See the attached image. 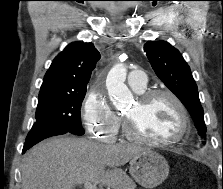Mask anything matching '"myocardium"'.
Here are the masks:
<instances>
[{"mask_svg": "<svg viewBox=\"0 0 223 189\" xmlns=\"http://www.w3.org/2000/svg\"><path fill=\"white\" fill-rule=\"evenodd\" d=\"M161 96L170 98L180 113L181 126L178 134L173 138H166V139H154L146 137L138 133L134 126L133 120L130 117L125 116L124 117L125 133L127 137L130 138L132 141L155 146H169L180 142L188 134L190 129L189 112L183 101L174 92L166 89H153L141 93L138 96L137 101L140 105H145L146 103Z\"/></svg>", "mask_w": 223, "mask_h": 189, "instance_id": "1", "label": "myocardium"}]
</instances>
